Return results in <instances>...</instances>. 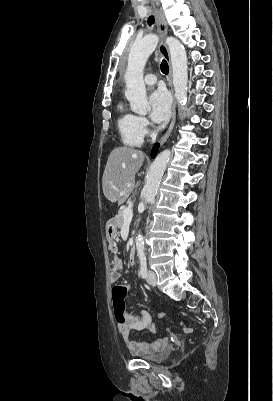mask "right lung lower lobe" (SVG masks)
Listing matches in <instances>:
<instances>
[{
  "instance_id": "obj_1",
  "label": "right lung lower lobe",
  "mask_w": 273,
  "mask_h": 401,
  "mask_svg": "<svg viewBox=\"0 0 273 401\" xmlns=\"http://www.w3.org/2000/svg\"><path fill=\"white\" fill-rule=\"evenodd\" d=\"M158 147H159V144H158V143L154 145V147H153V149H152V151H151V156H152V158L155 157V155H156V153H157V151H158Z\"/></svg>"
}]
</instances>
